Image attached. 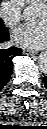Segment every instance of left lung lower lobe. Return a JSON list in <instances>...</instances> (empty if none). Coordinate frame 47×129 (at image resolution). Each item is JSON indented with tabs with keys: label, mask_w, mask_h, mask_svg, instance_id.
Returning a JSON list of instances; mask_svg holds the SVG:
<instances>
[{
	"label": "left lung lower lobe",
	"mask_w": 47,
	"mask_h": 129,
	"mask_svg": "<svg viewBox=\"0 0 47 129\" xmlns=\"http://www.w3.org/2000/svg\"><path fill=\"white\" fill-rule=\"evenodd\" d=\"M44 84H45V86L47 88V76L44 77Z\"/></svg>",
	"instance_id": "0a47b994"
}]
</instances>
